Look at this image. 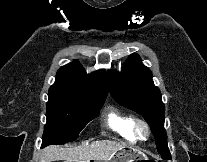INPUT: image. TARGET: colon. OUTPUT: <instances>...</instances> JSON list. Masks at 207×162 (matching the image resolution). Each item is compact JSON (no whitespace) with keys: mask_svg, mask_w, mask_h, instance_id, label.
<instances>
[{"mask_svg":"<svg viewBox=\"0 0 207 162\" xmlns=\"http://www.w3.org/2000/svg\"><path fill=\"white\" fill-rule=\"evenodd\" d=\"M143 162H160V161H155V160H146V161H143Z\"/></svg>","mask_w":207,"mask_h":162,"instance_id":"obj_1","label":"colon"}]
</instances>
